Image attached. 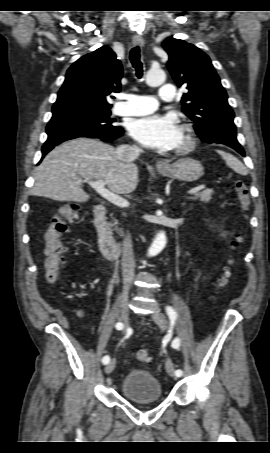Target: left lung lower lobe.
<instances>
[{
	"label": "left lung lower lobe",
	"mask_w": 270,
	"mask_h": 453,
	"mask_svg": "<svg viewBox=\"0 0 270 453\" xmlns=\"http://www.w3.org/2000/svg\"><path fill=\"white\" fill-rule=\"evenodd\" d=\"M233 149H235L237 152H239L242 156H245V152L243 150V148L241 147V145L239 143L237 144H229L227 145Z\"/></svg>",
	"instance_id": "left-lung-lower-lobe-1"
}]
</instances>
